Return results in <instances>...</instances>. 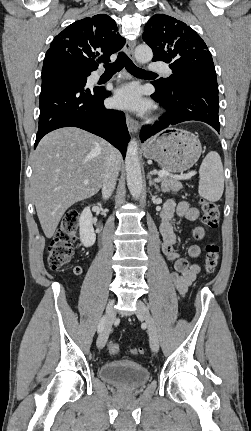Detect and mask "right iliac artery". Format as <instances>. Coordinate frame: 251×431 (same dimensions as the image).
I'll return each mask as SVG.
<instances>
[{
	"instance_id": "82829eb1",
	"label": "right iliac artery",
	"mask_w": 251,
	"mask_h": 431,
	"mask_svg": "<svg viewBox=\"0 0 251 431\" xmlns=\"http://www.w3.org/2000/svg\"><path fill=\"white\" fill-rule=\"evenodd\" d=\"M105 322H106V316H103L98 324V332L100 333L104 326H105Z\"/></svg>"
}]
</instances>
